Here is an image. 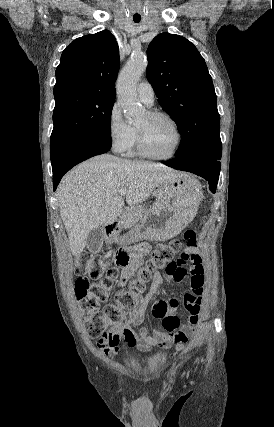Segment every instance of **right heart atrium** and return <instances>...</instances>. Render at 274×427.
I'll return each instance as SVG.
<instances>
[{
  "instance_id": "right-heart-atrium-1",
  "label": "right heart atrium",
  "mask_w": 274,
  "mask_h": 427,
  "mask_svg": "<svg viewBox=\"0 0 274 427\" xmlns=\"http://www.w3.org/2000/svg\"><path fill=\"white\" fill-rule=\"evenodd\" d=\"M107 134L112 149L119 153L127 151L135 139L134 129L125 122L117 104L108 113Z\"/></svg>"
}]
</instances>
